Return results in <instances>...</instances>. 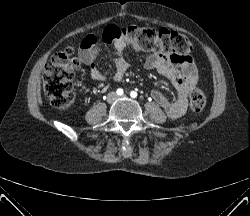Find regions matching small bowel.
I'll list each match as a JSON object with an SVG mask.
<instances>
[{
    "label": "small bowel",
    "mask_w": 250,
    "mask_h": 216,
    "mask_svg": "<svg viewBox=\"0 0 250 216\" xmlns=\"http://www.w3.org/2000/svg\"><path fill=\"white\" fill-rule=\"evenodd\" d=\"M129 47L125 40L114 42V48L118 55L115 59V74L107 78L95 64L100 52L99 43L94 35L84 38L80 45L79 56L81 61L89 66L90 76L94 81L101 83H117L121 81L128 70L129 64L123 57L125 50ZM134 51L139 49L132 46ZM145 68L155 70L167 78L174 86L177 98L169 100L162 92L154 90L153 99L165 110L171 119L181 118L188 107V96L190 91L198 84V76L195 64L189 56L152 54L145 61Z\"/></svg>",
    "instance_id": "obj_1"
}]
</instances>
